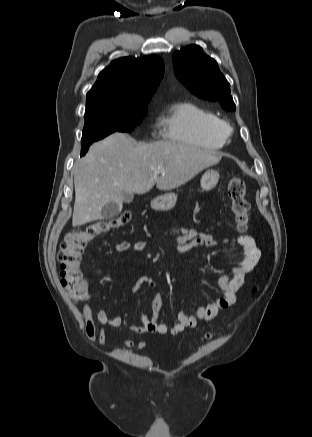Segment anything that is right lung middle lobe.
Listing matches in <instances>:
<instances>
[{
    "instance_id": "right-lung-middle-lobe-1",
    "label": "right lung middle lobe",
    "mask_w": 312,
    "mask_h": 437,
    "mask_svg": "<svg viewBox=\"0 0 312 437\" xmlns=\"http://www.w3.org/2000/svg\"><path fill=\"white\" fill-rule=\"evenodd\" d=\"M148 107L137 111H118L111 109H96L85 112V125L81 139L83 156L89 145L114 132H131L141 123L147 114Z\"/></svg>"
}]
</instances>
